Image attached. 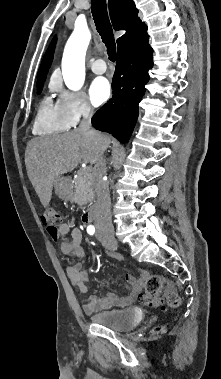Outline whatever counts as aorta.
Instances as JSON below:
<instances>
[{"label":"aorta","mask_w":221,"mask_h":379,"mask_svg":"<svg viewBox=\"0 0 221 379\" xmlns=\"http://www.w3.org/2000/svg\"><path fill=\"white\" fill-rule=\"evenodd\" d=\"M91 39L87 27L76 28L68 39L62 58V74L66 86L78 91L85 80V55Z\"/></svg>","instance_id":"aorta-1"}]
</instances>
